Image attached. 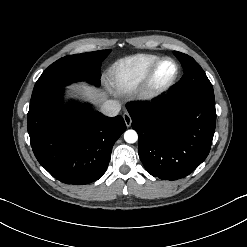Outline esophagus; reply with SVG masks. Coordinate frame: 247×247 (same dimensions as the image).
<instances>
[{"label": "esophagus", "instance_id": "esophagus-1", "mask_svg": "<svg viewBox=\"0 0 247 247\" xmlns=\"http://www.w3.org/2000/svg\"><path fill=\"white\" fill-rule=\"evenodd\" d=\"M123 119H124V122H125L126 126L130 127L131 122H132L130 114L125 112L124 115H123Z\"/></svg>", "mask_w": 247, "mask_h": 247}]
</instances>
